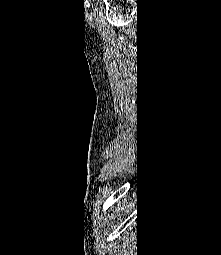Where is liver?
Masks as SVG:
<instances>
[{"label": "liver", "mask_w": 221, "mask_h": 255, "mask_svg": "<svg viewBox=\"0 0 221 255\" xmlns=\"http://www.w3.org/2000/svg\"><path fill=\"white\" fill-rule=\"evenodd\" d=\"M127 210H128V206H124V207L121 208V212H122V213H123V212L125 213Z\"/></svg>", "instance_id": "1"}]
</instances>
